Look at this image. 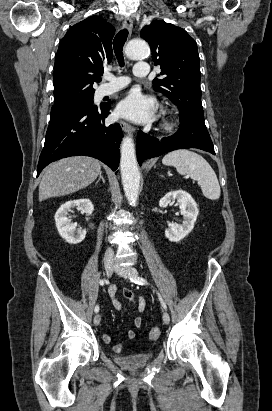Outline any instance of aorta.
Wrapping results in <instances>:
<instances>
[{"label":"aorta","instance_id":"1","mask_svg":"<svg viewBox=\"0 0 272 411\" xmlns=\"http://www.w3.org/2000/svg\"><path fill=\"white\" fill-rule=\"evenodd\" d=\"M149 47L142 39H133L126 46V55L130 59H141L148 55ZM120 169L123 189L127 200L135 204L138 200L140 172L136 160L135 145L130 135L121 143Z\"/></svg>","mask_w":272,"mask_h":411}]
</instances>
